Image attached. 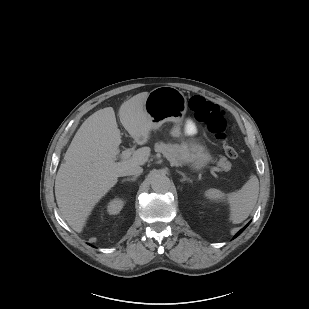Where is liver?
Instances as JSON below:
<instances>
[{
  "instance_id": "obj_1",
  "label": "liver",
  "mask_w": 309,
  "mask_h": 309,
  "mask_svg": "<svg viewBox=\"0 0 309 309\" xmlns=\"http://www.w3.org/2000/svg\"><path fill=\"white\" fill-rule=\"evenodd\" d=\"M148 94L133 96L122 103L118 112L122 126L138 145L148 142L152 129L144 110ZM121 142L112 107L96 111L76 132L55 180L58 207L74 231L82 232L91 211L114 187L122 170L148 161L150 148L143 147L131 158L116 162Z\"/></svg>"
}]
</instances>
